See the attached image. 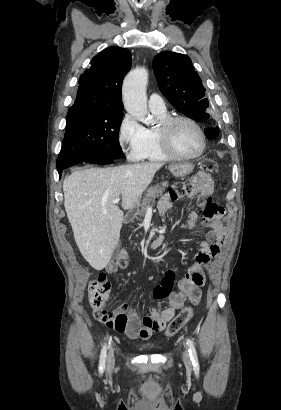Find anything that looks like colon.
Instances as JSON below:
<instances>
[{
    "label": "colon",
    "instance_id": "obj_1",
    "mask_svg": "<svg viewBox=\"0 0 281 410\" xmlns=\"http://www.w3.org/2000/svg\"><path fill=\"white\" fill-rule=\"evenodd\" d=\"M200 168L209 173H215L218 171V164L211 159H204L200 163ZM192 188L190 185H182L174 188L170 191L169 196L172 201L179 200L184 194L190 193ZM199 204L204 209L206 216H222L224 209L212 202L210 196L201 195L199 198ZM117 266L125 268L129 264V255L126 251L122 250L118 253ZM111 290V284L107 280L105 274H100L96 279H93L88 285V295L90 298L91 306L95 312L96 318L115 329L116 331L123 330L128 325V319L125 315L113 314L106 310L105 305L109 299ZM193 314L192 307L188 306L184 308L169 324L166 334L173 336L179 332L191 318Z\"/></svg>",
    "mask_w": 281,
    "mask_h": 410
}]
</instances>
